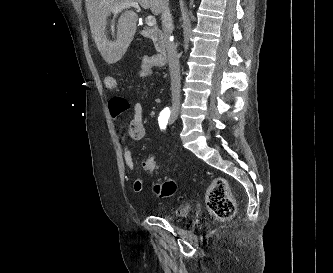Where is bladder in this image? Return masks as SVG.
Instances as JSON below:
<instances>
[{"label":"bladder","instance_id":"31cf9c89","mask_svg":"<svg viewBox=\"0 0 333 273\" xmlns=\"http://www.w3.org/2000/svg\"><path fill=\"white\" fill-rule=\"evenodd\" d=\"M190 206L187 203H180L175 206L174 212L171 215H167L166 218L170 220H175L177 218L186 217L190 213Z\"/></svg>","mask_w":333,"mask_h":273}]
</instances>
